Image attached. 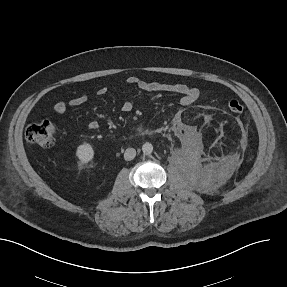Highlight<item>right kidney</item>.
Wrapping results in <instances>:
<instances>
[{
    "mask_svg": "<svg viewBox=\"0 0 287 287\" xmlns=\"http://www.w3.org/2000/svg\"><path fill=\"white\" fill-rule=\"evenodd\" d=\"M76 156L79 159L78 165H84L94 158V150L89 143H83L77 147Z\"/></svg>",
    "mask_w": 287,
    "mask_h": 287,
    "instance_id": "obj_1",
    "label": "right kidney"
}]
</instances>
